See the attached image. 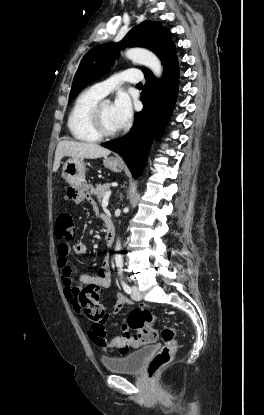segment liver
<instances>
[{
    "label": "liver",
    "instance_id": "obj_1",
    "mask_svg": "<svg viewBox=\"0 0 264 415\" xmlns=\"http://www.w3.org/2000/svg\"><path fill=\"white\" fill-rule=\"evenodd\" d=\"M111 151L95 143H86L78 141H60L57 144L53 171L57 172L60 167L61 159L65 156L72 158H89L96 159L106 157Z\"/></svg>",
    "mask_w": 264,
    "mask_h": 415
}]
</instances>
